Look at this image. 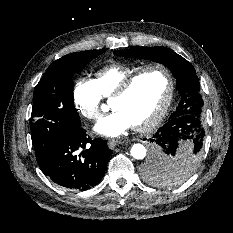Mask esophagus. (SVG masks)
Masks as SVG:
<instances>
[{"instance_id":"1","label":"esophagus","mask_w":233,"mask_h":233,"mask_svg":"<svg viewBox=\"0 0 233 233\" xmlns=\"http://www.w3.org/2000/svg\"><path fill=\"white\" fill-rule=\"evenodd\" d=\"M119 143L118 140H115V139H109L108 141V146L110 149H114L115 146Z\"/></svg>"}]
</instances>
